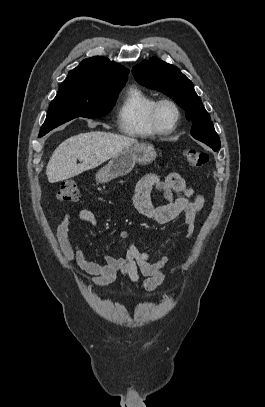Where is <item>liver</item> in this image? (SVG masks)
Here are the masks:
<instances>
[{
	"label": "liver",
	"mask_w": 265,
	"mask_h": 407,
	"mask_svg": "<svg viewBox=\"0 0 265 407\" xmlns=\"http://www.w3.org/2000/svg\"><path fill=\"white\" fill-rule=\"evenodd\" d=\"M136 144V139L109 132L93 131L72 136L63 141L50 157L46 167L48 181L56 183L73 178ZM77 159L82 163L77 164Z\"/></svg>",
	"instance_id": "obj_1"
}]
</instances>
